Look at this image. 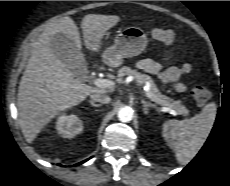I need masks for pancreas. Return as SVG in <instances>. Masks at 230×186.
Returning <instances> with one entry per match:
<instances>
[{"mask_svg": "<svg viewBox=\"0 0 230 186\" xmlns=\"http://www.w3.org/2000/svg\"><path fill=\"white\" fill-rule=\"evenodd\" d=\"M117 76L120 79H122L124 76H133L138 86H144L146 83H148L150 87L149 92L153 96L160 100H163L168 105H172L173 109L177 112V114H189V110L185 106H183L180 101H174L173 99L161 94L150 76L138 72L137 70H132L131 68L126 66H123L121 69H119Z\"/></svg>", "mask_w": 230, "mask_h": 186, "instance_id": "1", "label": "pancreas"}]
</instances>
